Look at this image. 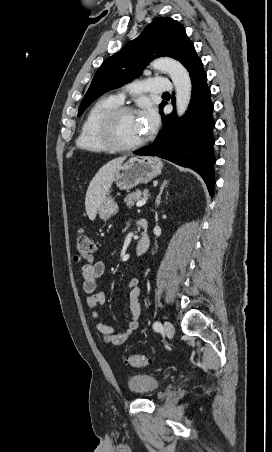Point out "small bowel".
<instances>
[{
    "instance_id": "small-bowel-1",
    "label": "small bowel",
    "mask_w": 272,
    "mask_h": 452,
    "mask_svg": "<svg viewBox=\"0 0 272 452\" xmlns=\"http://www.w3.org/2000/svg\"><path fill=\"white\" fill-rule=\"evenodd\" d=\"M105 270V262L101 260L83 264L81 266L82 288L87 295L86 304L91 312L92 318L95 320V328L100 334L102 341L112 346H118L125 343L130 335L139 327L141 315L139 299L142 294V288L138 279L134 278L128 282L126 289L130 320L122 332H115L111 326L100 322V314L98 312V307L105 303L106 295L103 292L97 291V281L104 275Z\"/></svg>"
}]
</instances>
